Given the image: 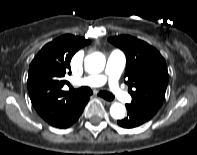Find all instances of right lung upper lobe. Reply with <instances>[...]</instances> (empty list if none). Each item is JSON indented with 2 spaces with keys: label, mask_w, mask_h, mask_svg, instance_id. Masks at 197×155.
<instances>
[{
  "label": "right lung upper lobe",
  "mask_w": 197,
  "mask_h": 155,
  "mask_svg": "<svg viewBox=\"0 0 197 155\" xmlns=\"http://www.w3.org/2000/svg\"><path fill=\"white\" fill-rule=\"evenodd\" d=\"M90 41L63 35L46 44L32 60L27 80L31 102L38 114L49 124L60 127L83 100L75 92L63 91L69 84L65 74H71L73 55Z\"/></svg>",
  "instance_id": "obj_1"
}]
</instances>
